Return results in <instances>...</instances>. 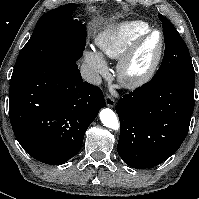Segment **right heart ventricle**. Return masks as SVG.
Masks as SVG:
<instances>
[{
    "label": "right heart ventricle",
    "mask_w": 199,
    "mask_h": 199,
    "mask_svg": "<svg viewBox=\"0 0 199 199\" xmlns=\"http://www.w3.org/2000/svg\"><path fill=\"white\" fill-rule=\"evenodd\" d=\"M151 29L144 21H127L109 25L96 37L101 52L112 59H119L141 35Z\"/></svg>",
    "instance_id": "e07e8e85"
}]
</instances>
